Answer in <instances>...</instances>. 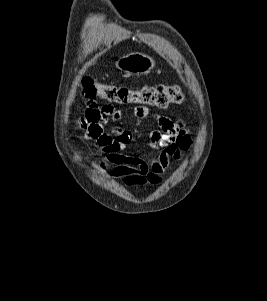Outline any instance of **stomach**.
Instances as JSON below:
<instances>
[{"label":"stomach","mask_w":267,"mask_h":301,"mask_svg":"<svg viewBox=\"0 0 267 301\" xmlns=\"http://www.w3.org/2000/svg\"><path fill=\"white\" fill-rule=\"evenodd\" d=\"M115 66L130 74H147L155 66V61L152 57L143 53L135 52L120 58Z\"/></svg>","instance_id":"0dacf381"}]
</instances>
